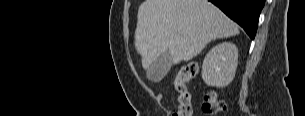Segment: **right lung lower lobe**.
<instances>
[{
    "label": "right lung lower lobe",
    "mask_w": 305,
    "mask_h": 116,
    "mask_svg": "<svg viewBox=\"0 0 305 116\" xmlns=\"http://www.w3.org/2000/svg\"><path fill=\"white\" fill-rule=\"evenodd\" d=\"M237 22L254 39L265 0H209Z\"/></svg>",
    "instance_id": "98d812e1"
}]
</instances>
